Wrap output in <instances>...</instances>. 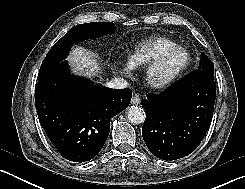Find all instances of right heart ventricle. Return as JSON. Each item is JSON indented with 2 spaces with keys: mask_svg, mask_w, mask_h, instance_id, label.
<instances>
[{
  "mask_svg": "<svg viewBox=\"0 0 245 189\" xmlns=\"http://www.w3.org/2000/svg\"><path fill=\"white\" fill-rule=\"evenodd\" d=\"M177 45L175 41L156 36L137 42L129 53V65L133 68L153 62L167 48Z\"/></svg>",
  "mask_w": 245,
  "mask_h": 189,
  "instance_id": "e07e8e85",
  "label": "right heart ventricle"
}]
</instances>
